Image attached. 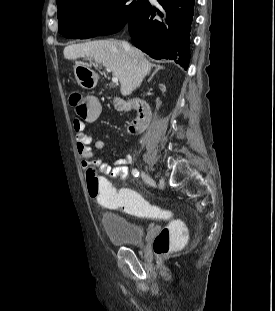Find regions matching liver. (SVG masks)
Returning a JSON list of instances; mask_svg holds the SVG:
<instances>
[{
    "label": "liver",
    "instance_id": "liver-1",
    "mask_svg": "<svg viewBox=\"0 0 275 311\" xmlns=\"http://www.w3.org/2000/svg\"><path fill=\"white\" fill-rule=\"evenodd\" d=\"M138 60V64L124 47L123 42L118 41H90L81 44H73L64 48V57L75 60L77 66L85 65L76 61L80 57L94 59L96 63L103 64L109 69L121 84V93L126 96L140 86L144 77L149 73L153 64L150 63L142 51L131 47Z\"/></svg>",
    "mask_w": 275,
    "mask_h": 311
}]
</instances>
